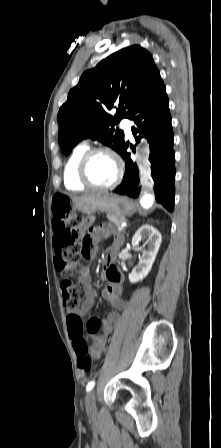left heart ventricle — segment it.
<instances>
[{
	"label": "left heart ventricle",
	"instance_id": "obj_1",
	"mask_svg": "<svg viewBox=\"0 0 221 448\" xmlns=\"http://www.w3.org/2000/svg\"><path fill=\"white\" fill-rule=\"evenodd\" d=\"M117 173L114 159L107 154L95 156L89 165V176L92 181L99 185L111 183Z\"/></svg>",
	"mask_w": 221,
	"mask_h": 448
}]
</instances>
